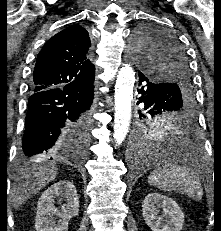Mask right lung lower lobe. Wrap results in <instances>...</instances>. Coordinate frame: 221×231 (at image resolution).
I'll return each instance as SVG.
<instances>
[{
	"label": "right lung lower lobe",
	"mask_w": 221,
	"mask_h": 231,
	"mask_svg": "<svg viewBox=\"0 0 221 231\" xmlns=\"http://www.w3.org/2000/svg\"><path fill=\"white\" fill-rule=\"evenodd\" d=\"M93 82L32 93L19 150L22 161L85 155L88 143L77 137L73 126L88 116L94 96Z\"/></svg>",
	"instance_id": "98d812e1"
}]
</instances>
